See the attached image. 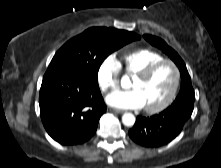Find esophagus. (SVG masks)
<instances>
[{
  "label": "esophagus",
  "instance_id": "esophagus-1",
  "mask_svg": "<svg viewBox=\"0 0 221 168\" xmlns=\"http://www.w3.org/2000/svg\"><path fill=\"white\" fill-rule=\"evenodd\" d=\"M108 111H109V112L116 113V114L123 113V111H122V110H119V109H114V108H108Z\"/></svg>",
  "mask_w": 221,
  "mask_h": 168
}]
</instances>
